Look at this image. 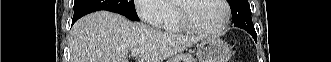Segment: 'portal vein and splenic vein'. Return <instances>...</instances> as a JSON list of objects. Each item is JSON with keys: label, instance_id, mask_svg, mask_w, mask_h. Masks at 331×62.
I'll return each mask as SVG.
<instances>
[{"label": "portal vein and splenic vein", "instance_id": "18ae733b", "mask_svg": "<svg viewBox=\"0 0 331 62\" xmlns=\"http://www.w3.org/2000/svg\"><path fill=\"white\" fill-rule=\"evenodd\" d=\"M142 51H143V48L133 49V50H131V55L136 56Z\"/></svg>", "mask_w": 331, "mask_h": 62}]
</instances>
